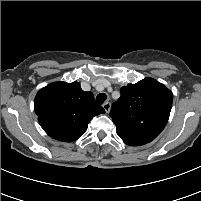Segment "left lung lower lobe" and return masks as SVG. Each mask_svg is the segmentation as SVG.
Segmentation results:
<instances>
[{
  "label": "left lung lower lobe",
  "instance_id": "0a47b994",
  "mask_svg": "<svg viewBox=\"0 0 201 201\" xmlns=\"http://www.w3.org/2000/svg\"><path fill=\"white\" fill-rule=\"evenodd\" d=\"M123 141L130 146H140V145H144L143 143H139V142H135L132 140H127V139H123Z\"/></svg>",
  "mask_w": 201,
  "mask_h": 201
}]
</instances>
